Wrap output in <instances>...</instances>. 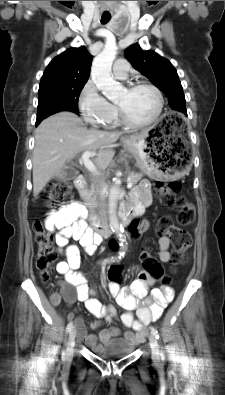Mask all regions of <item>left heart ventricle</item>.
<instances>
[{"instance_id": "1", "label": "left heart ventricle", "mask_w": 225, "mask_h": 395, "mask_svg": "<svg viewBox=\"0 0 225 395\" xmlns=\"http://www.w3.org/2000/svg\"><path fill=\"white\" fill-rule=\"evenodd\" d=\"M127 117L135 122H143L150 119L156 111L157 100L155 94L147 88H139L133 91L123 89L116 99Z\"/></svg>"}]
</instances>
